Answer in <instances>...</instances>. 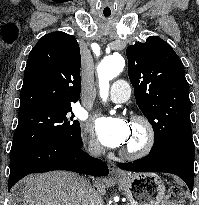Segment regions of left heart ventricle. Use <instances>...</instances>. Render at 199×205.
Instances as JSON below:
<instances>
[{
	"label": "left heart ventricle",
	"instance_id": "1",
	"mask_svg": "<svg viewBox=\"0 0 199 205\" xmlns=\"http://www.w3.org/2000/svg\"><path fill=\"white\" fill-rule=\"evenodd\" d=\"M143 132L140 127L136 125H130V135L124 144V148H134L137 147L142 141Z\"/></svg>",
	"mask_w": 199,
	"mask_h": 205
}]
</instances>
